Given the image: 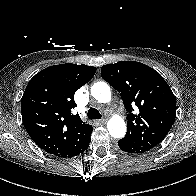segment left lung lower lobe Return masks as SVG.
I'll return each mask as SVG.
<instances>
[{
	"instance_id": "obj_1",
	"label": "left lung lower lobe",
	"mask_w": 196,
	"mask_h": 196,
	"mask_svg": "<svg viewBox=\"0 0 196 196\" xmlns=\"http://www.w3.org/2000/svg\"><path fill=\"white\" fill-rule=\"evenodd\" d=\"M118 146L125 152H128L130 154L133 153H144L150 149L146 148V147H142L139 145H136L130 141H128L125 138H122L118 141Z\"/></svg>"
}]
</instances>
